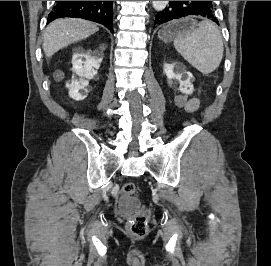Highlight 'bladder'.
<instances>
[{"instance_id":"bladder-1","label":"bladder","mask_w":271,"mask_h":266,"mask_svg":"<svg viewBox=\"0 0 271 266\" xmlns=\"http://www.w3.org/2000/svg\"><path fill=\"white\" fill-rule=\"evenodd\" d=\"M118 206L121 212L131 213L140 206V201L136 197H123Z\"/></svg>"}]
</instances>
